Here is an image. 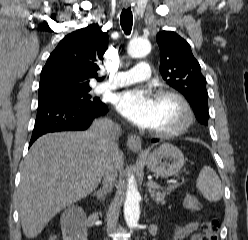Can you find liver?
Masks as SVG:
<instances>
[{"instance_id":"6515ba94","label":"liver","mask_w":248,"mask_h":240,"mask_svg":"<svg viewBox=\"0 0 248 240\" xmlns=\"http://www.w3.org/2000/svg\"><path fill=\"white\" fill-rule=\"evenodd\" d=\"M96 120L84 132H58L35 141L23 162L18 189L21 225L29 239L37 237L65 207L96 189L104 175L108 153L106 124ZM116 168L123 163L112 152Z\"/></svg>"}]
</instances>
